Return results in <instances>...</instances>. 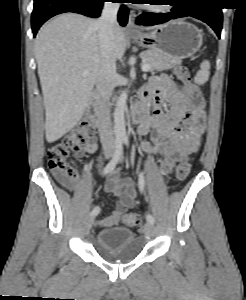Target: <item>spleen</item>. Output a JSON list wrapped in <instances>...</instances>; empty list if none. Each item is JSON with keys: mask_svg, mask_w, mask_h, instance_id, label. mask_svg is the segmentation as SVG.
Wrapping results in <instances>:
<instances>
[{"mask_svg": "<svg viewBox=\"0 0 246 300\" xmlns=\"http://www.w3.org/2000/svg\"><path fill=\"white\" fill-rule=\"evenodd\" d=\"M210 76V62L208 60H204L200 64V70L196 73L194 77V82L197 85L205 84Z\"/></svg>", "mask_w": 246, "mask_h": 300, "instance_id": "obj_1", "label": "spleen"}]
</instances>
